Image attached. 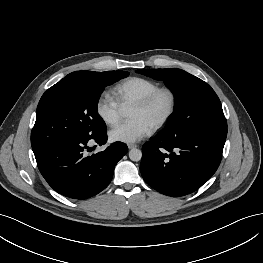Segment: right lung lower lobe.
Segmentation results:
<instances>
[{
  "label": "right lung lower lobe",
  "mask_w": 263,
  "mask_h": 263,
  "mask_svg": "<svg viewBox=\"0 0 263 263\" xmlns=\"http://www.w3.org/2000/svg\"><path fill=\"white\" fill-rule=\"evenodd\" d=\"M107 141L106 130L95 136L53 143L34 152L38 168L48 184L59 194L73 199L90 198L110 183L115 165L127 153L122 142L87 156L89 145Z\"/></svg>",
  "instance_id": "obj_1"
}]
</instances>
